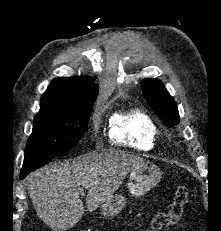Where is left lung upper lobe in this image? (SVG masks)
I'll return each mask as SVG.
<instances>
[{"instance_id": "obj_1", "label": "left lung upper lobe", "mask_w": 221, "mask_h": 231, "mask_svg": "<svg viewBox=\"0 0 221 231\" xmlns=\"http://www.w3.org/2000/svg\"><path fill=\"white\" fill-rule=\"evenodd\" d=\"M141 87L148 104L166 125L176 126L179 124L180 118L177 105L161 81L144 79Z\"/></svg>"}]
</instances>
